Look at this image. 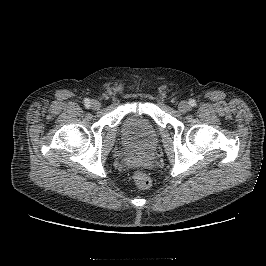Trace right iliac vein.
<instances>
[{
	"label": "right iliac vein",
	"mask_w": 266,
	"mask_h": 266,
	"mask_svg": "<svg viewBox=\"0 0 266 266\" xmlns=\"http://www.w3.org/2000/svg\"><path fill=\"white\" fill-rule=\"evenodd\" d=\"M90 106H91V108L93 109V110H98L99 108H100V102L98 101V100H92L91 102H90Z\"/></svg>",
	"instance_id": "63e3f726"
}]
</instances>
